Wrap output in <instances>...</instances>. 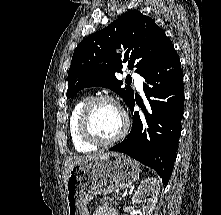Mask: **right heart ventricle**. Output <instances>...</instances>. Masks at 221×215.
<instances>
[{"mask_svg":"<svg viewBox=\"0 0 221 215\" xmlns=\"http://www.w3.org/2000/svg\"><path fill=\"white\" fill-rule=\"evenodd\" d=\"M87 100V97H82L75 102L71 110L68 122V130L73 147L76 151L82 153L91 152L97 147L83 140L78 130V117L83 105L86 103Z\"/></svg>","mask_w":221,"mask_h":215,"instance_id":"right-heart-ventricle-1","label":"right heart ventricle"}]
</instances>
